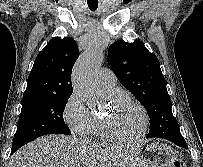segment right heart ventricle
<instances>
[{
    "mask_svg": "<svg viewBox=\"0 0 203 167\" xmlns=\"http://www.w3.org/2000/svg\"><path fill=\"white\" fill-rule=\"evenodd\" d=\"M114 91V90H112ZM89 134L91 135H96L99 137H104L101 131V127H100V121H99V117L97 115L93 114V120H92V125H91V129L89 131Z\"/></svg>",
    "mask_w": 203,
    "mask_h": 167,
    "instance_id": "e07e8e85",
    "label": "right heart ventricle"
}]
</instances>
